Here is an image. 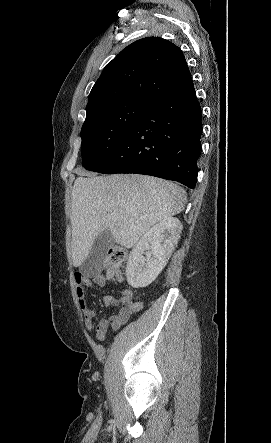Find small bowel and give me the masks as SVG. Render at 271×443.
I'll use <instances>...</instances> for the list:
<instances>
[{
    "instance_id": "obj_1",
    "label": "small bowel",
    "mask_w": 271,
    "mask_h": 443,
    "mask_svg": "<svg viewBox=\"0 0 271 443\" xmlns=\"http://www.w3.org/2000/svg\"><path fill=\"white\" fill-rule=\"evenodd\" d=\"M74 281L78 303L84 316L85 327L87 330L95 329L96 337L99 341L106 339V332L109 326L115 330L119 329L132 315L142 309L141 302L133 301L132 290L124 289L119 297L105 296L103 298L106 307H119V311L114 315L101 319L95 324L96 312L87 304L85 288L104 287L106 285V278L101 273L91 276L75 273Z\"/></svg>"
}]
</instances>
